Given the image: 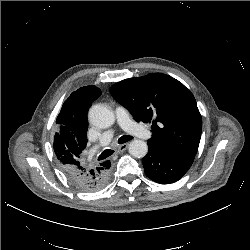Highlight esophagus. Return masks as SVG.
Segmentation results:
<instances>
[{
  "instance_id": "34e87169",
  "label": "esophagus",
  "mask_w": 250,
  "mask_h": 250,
  "mask_svg": "<svg viewBox=\"0 0 250 250\" xmlns=\"http://www.w3.org/2000/svg\"><path fill=\"white\" fill-rule=\"evenodd\" d=\"M128 147V144L125 143V144H122V145H119L118 148H117V153H122L124 152Z\"/></svg>"
}]
</instances>
